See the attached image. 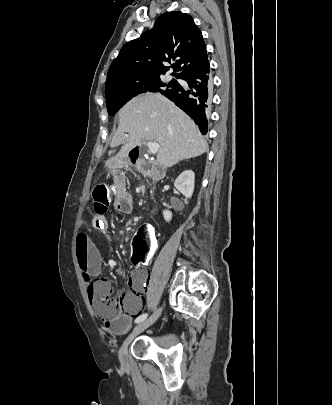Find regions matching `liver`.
Here are the masks:
<instances>
[{"instance_id":"6515ba94","label":"liver","mask_w":332,"mask_h":405,"mask_svg":"<svg viewBox=\"0 0 332 405\" xmlns=\"http://www.w3.org/2000/svg\"><path fill=\"white\" fill-rule=\"evenodd\" d=\"M157 142V162L172 167L181 160L201 156L208 145L193 120L160 94L129 101L119 111V126L110 146L123 144L117 159L128 156L135 145Z\"/></svg>"}]
</instances>
